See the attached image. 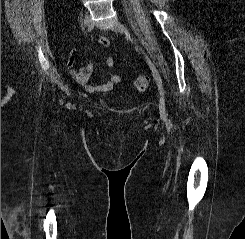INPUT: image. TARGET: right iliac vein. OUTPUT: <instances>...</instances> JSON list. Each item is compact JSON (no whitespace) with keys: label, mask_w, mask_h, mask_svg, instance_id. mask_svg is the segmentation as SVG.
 Segmentation results:
<instances>
[{"label":"right iliac vein","mask_w":245,"mask_h":239,"mask_svg":"<svg viewBox=\"0 0 245 239\" xmlns=\"http://www.w3.org/2000/svg\"><path fill=\"white\" fill-rule=\"evenodd\" d=\"M92 23V19L91 16L87 13L84 17V24L86 26H89Z\"/></svg>","instance_id":"right-iliac-vein-1"}]
</instances>
